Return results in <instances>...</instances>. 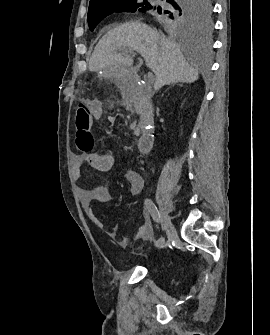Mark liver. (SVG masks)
Instances as JSON below:
<instances>
[{
    "label": "liver",
    "mask_w": 270,
    "mask_h": 335,
    "mask_svg": "<svg viewBox=\"0 0 270 335\" xmlns=\"http://www.w3.org/2000/svg\"><path fill=\"white\" fill-rule=\"evenodd\" d=\"M126 50H135L144 58L148 68L156 76L154 90L169 86L174 82L192 84L198 80L199 72L186 62L179 44L175 40L165 38L162 32L150 28L140 20L125 22L113 30H109L99 40L89 60L90 72H125L130 76L133 64L130 56L118 54ZM128 62V64H123Z\"/></svg>",
    "instance_id": "liver-1"
}]
</instances>
